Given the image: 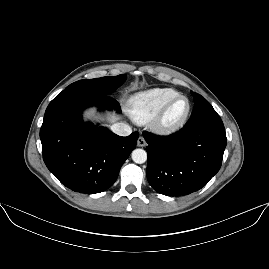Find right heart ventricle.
Returning a JSON list of instances; mask_svg holds the SVG:
<instances>
[{"mask_svg":"<svg viewBox=\"0 0 269 269\" xmlns=\"http://www.w3.org/2000/svg\"><path fill=\"white\" fill-rule=\"evenodd\" d=\"M179 93L170 88H155L137 93L132 98L133 115L142 122L154 119Z\"/></svg>","mask_w":269,"mask_h":269,"instance_id":"right-heart-ventricle-1","label":"right heart ventricle"}]
</instances>
